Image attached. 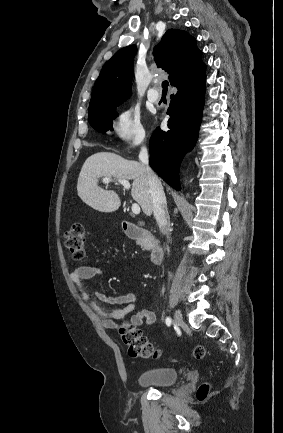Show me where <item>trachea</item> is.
Returning <instances> with one entry per match:
<instances>
[{"label": "trachea", "mask_w": 283, "mask_h": 433, "mask_svg": "<svg viewBox=\"0 0 283 433\" xmlns=\"http://www.w3.org/2000/svg\"><path fill=\"white\" fill-rule=\"evenodd\" d=\"M162 91L163 93H167L168 90V82L166 80H164V82H162Z\"/></svg>", "instance_id": "obj_1"}]
</instances>
